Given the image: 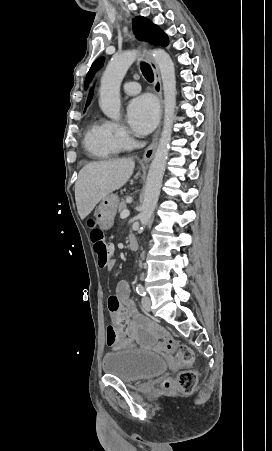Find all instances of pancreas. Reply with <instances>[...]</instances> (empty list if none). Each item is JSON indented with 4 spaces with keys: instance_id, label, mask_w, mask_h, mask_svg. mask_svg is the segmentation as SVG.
<instances>
[{
    "instance_id": "pancreas-1",
    "label": "pancreas",
    "mask_w": 272,
    "mask_h": 451,
    "mask_svg": "<svg viewBox=\"0 0 272 451\" xmlns=\"http://www.w3.org/2000/svg\"><path fill=\"white\" fill-rule=\"evenodd\" d=\"M123 210H127L125 200H123V202H121V204H119L118 212H123Z\"/></svg>"
}]
</instances>
